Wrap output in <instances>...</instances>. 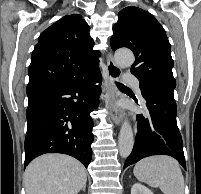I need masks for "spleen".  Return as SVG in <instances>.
I'll use <instances>...</instances> for the list:
<instances>
[{
	"label": "spleen",
	"mask_w": 201,
	"mask_h": 194,
	"mask_svg": "<svg viewBox=\"0 0 201 194\" xmlns=\"http://www.w3.org/2000/svg\"><path fill=\"white\" fill-rule=\"evenodd\" d=\"M134 176L151 187H159L164 194H184V177L178 162L168 156H152L139 161Z\"/></svg>",
	"instance_id": "1"
}]
</instances>
